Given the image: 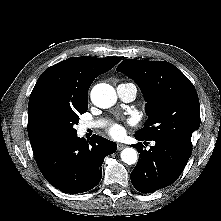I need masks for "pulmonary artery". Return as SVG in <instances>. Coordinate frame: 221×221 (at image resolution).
Masks as SVG:
<instances>
[{"label": "pulmonary artery", "mask_w": 221, "mask_h": 221, "mask_svg": "<svg viewBox=\"0 0 221 221\" xmlns=\"http://www.w3.org/2000/svg\"><path fill=\"white\" fill-rule=\"evenodd\" d=\"M117 94L119 98L124 102H131L135 99L137 94L136 86L132 83H122L117 86ZM103 125L101 120L92 121V122H84L81 125L83 130L97 128Z\"/></svg>", "instance_id": "e3ab8cb5"}]
</instances>
